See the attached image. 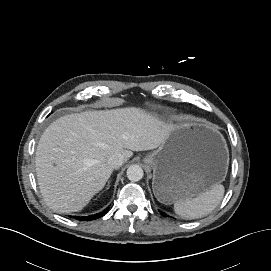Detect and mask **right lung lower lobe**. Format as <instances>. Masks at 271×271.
Returning <instances> with one entry per match:
<instances>
[{
  "label": "right lung lower lobe",
  "instance_id": "98d812e1",
  "mask_svg": "<svg viewBox=\"0 0 271 271\" xmlns=\"http://www.w3.org/2000/svg\"><path fill=\"white\" fill-rule=\"evenodd\" d=\"M109 210V208L107 207L104 211L98 213V214H94V215H91V216H88V217H78V216H75L74 218L77 219V220H83V221H89V220H94V219H98L102 216H104L107 211Z\"/></svg>",
  "mask_w": 271,
  "mask_h": 271
}]
</instances>
